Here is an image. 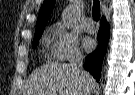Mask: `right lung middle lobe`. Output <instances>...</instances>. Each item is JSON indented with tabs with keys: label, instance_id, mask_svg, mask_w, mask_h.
<instances>
[{
	"label": "right lung middle lobe",
	"instance_id": "obj_1",
	"mask_svg": "<svg viewBox=\"0 0 135 95\" xmlns=\"http://www.w3.org/2000/svg\"><path fill=\"white\" fill-rule=\"evenodd\" d=\"M42 33H43V31L35 33V37H34V41H33V48L37 47L39 39L42 36Z\"/></svg>",
	"mask_w": 135,
	"mask_h": 95
}]
</instances>
